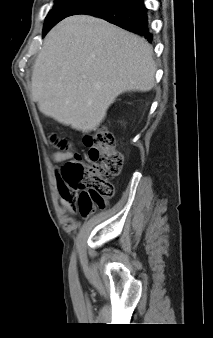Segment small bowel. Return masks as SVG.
<instances>
[{"label": "small bowel", "instance_id": "small-bowel-1", "mask_svg": "<svg viewBox=\"0 0 213 338\" xmlns=\"http://www.w3.org/2000/svg\"><path fill=\"white\" fill-rule=\"evenodd\" d=\"M51 140H52V142H54L56 140V138L54 136H52ZM70 156H71V152H55L54 153V158L57 159V160L67 159ZM60 201H61L62 205L68 211H72V209L74 208V205H77L78 208L80 209L82 198H81V196L80 197L73 196L69 193L68 190L63 189V190H61V193H60Z\"/></svg>", "mask_w": 213, "mask_h": 338}]
</instances>
